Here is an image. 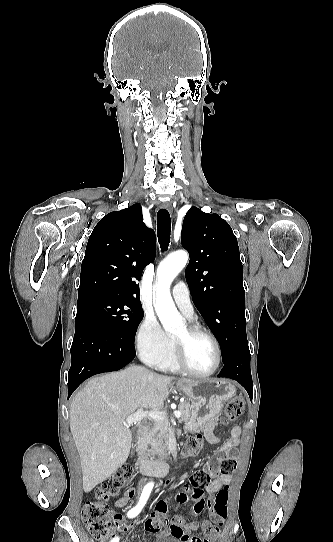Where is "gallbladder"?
<instances>
[{
    "label": "gallbladder",
    "instance_id": "1",
    "mask_svg": "<svg viewBox=\"0 0 333 542\" xmlns=\"http://www.w3.org/2000/svg\"><path fill=\"white\" fill-rule=\"evenodd\" d=\"M137 432H138V428H132V440H133V442H135V440H137Z\"/></svg>",
    "mask_w": 333,
    "mask_h": 542
}]
</instances>
